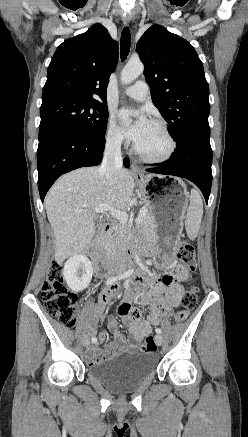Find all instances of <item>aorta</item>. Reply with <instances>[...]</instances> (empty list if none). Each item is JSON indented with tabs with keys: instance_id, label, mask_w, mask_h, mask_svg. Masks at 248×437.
Wrapping results in <instances>:
<instances>
[{
	"instance_id": "762f6f07",
	"label": "aorta",
	"mask_w": 248,
	"mask_h": 437,
	"mask_svg": "<svg viewBox=\"0 0 248 437\" xmlns=\"http://www.w3.org/2000/svg\"><path fill=\"white\" fill-rule=\"evenodd\" d=\"M144 70V66L140 61L129 62L121 72V82L125 85L132 83L139 77Z\"/></svg>"
}]
</instances>
